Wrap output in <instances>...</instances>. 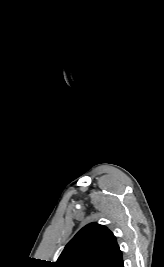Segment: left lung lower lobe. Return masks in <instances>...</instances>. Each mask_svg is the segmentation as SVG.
Instances as JSON below:
<instances>
[{
    "label": "left lung lower lobe",
    "instance_id": "left-lung-lower-lobe-1",
    "mask_svg": "<svg viewBox=\"0 0 164 267\" xmlns=\"http://www.w3.org/2000/svg\"><path fill=\"white\" fill-rule=\"evenodd\" d=\"M106 267H124L122 260V253L119 252L114 256V258L108 263Z\"/></svg>",
    "mask_w": 164,
    "mask_h": 267
}]
</instances>
